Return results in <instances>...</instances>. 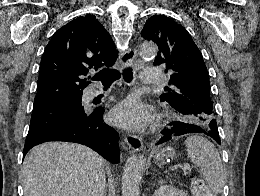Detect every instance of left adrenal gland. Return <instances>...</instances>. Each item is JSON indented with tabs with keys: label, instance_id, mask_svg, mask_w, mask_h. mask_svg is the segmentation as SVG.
<instances>
[{
	"label": "left adrenal gland",
	"instance_id": "obj_1",
	"mask_svg": "<svg viewBox=\"0 0 260 196\" xmlns=\"http://www.w3.org/2000/svg\"><path fill=\"white\" fill-rule=\"evenodd\" d=\"M159 184H163V180H160Z\"/></svg>",
	"mask_w": 260,
	"mask_h": 196
}]
</instances>
